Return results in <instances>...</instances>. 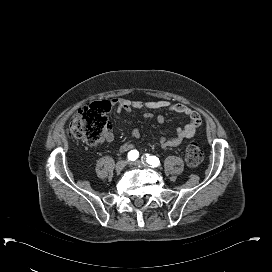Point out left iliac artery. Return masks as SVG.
I'll use <instances>...</instances> for the list:
<instances>
[{
  "instance_id": "left-iliac-artery-1",
  "label": "left iliac artery",
  "mask_w": 272,
  "mask_h": 272,
  "mask_svg": "<svg viewBox=\"0 0 272 272\" xmlns=\"http://www.w3.org/2000/svg\"><path fill=\"white\" fill-rule=\"evenodd\" d=\"M146 162L151 165L152 167H157L160 164L159 159L156 156H149L148 154H146Z\"/></svg>"
}]
</instances>
